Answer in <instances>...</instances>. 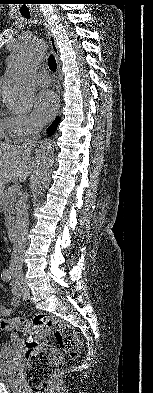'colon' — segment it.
Here are the masks:
<instances>
[{"instance_id": "1", "label": "colon", "mask_w": 153, "mask_h": 393, "mask_svg": "<svg viewBox=\"0 0 153 393\" xmlns=\"http://www.w3.org/2000/svg\"><path fill=\"white\" fill-rule=\"evenodd\" d=\"M0 328L16 329L23 333L26 352L21 377L33 393H44L63 365L61 351L48 344L51 333L70 358L77 359L83 349V343L73 327L46 313L36 315L33 322L22 316L0 319Z\"/></svg>"}]
</instances>
